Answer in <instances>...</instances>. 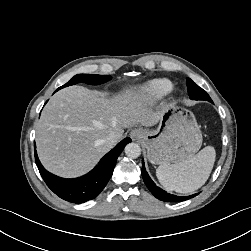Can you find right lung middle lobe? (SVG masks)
<instances>
[{
    "instance_id": "right-lung-middle-lobe-1",
    "label": "right lung middle lobe",
    "mask_w": 251,
    "mask_h": 251,
    "mask_svg": "<svg viewBox=\"0 0 251 251\" xmlns=\"http://www.w3.org/2000/svg\"><path fill=\"white\" fill-rule=\"evenodd\" d=\"M111 79L109 75H94V74H79L75 75L70 81H68L65 85L59 87L58 89L74 85L77 83H87L91 85H100L105 83Z\"/></svg>"
}]
</instances>
